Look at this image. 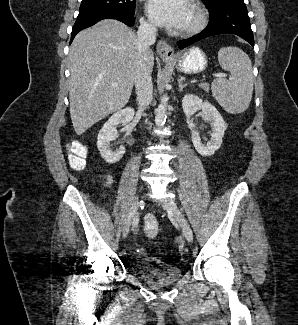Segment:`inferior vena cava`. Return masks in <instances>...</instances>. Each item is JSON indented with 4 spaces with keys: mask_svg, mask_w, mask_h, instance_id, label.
Masks as SVG:
<instances>
[{
    "mask_svg": "<svg viewBox=\"0 0 298 325\" xmlns=\"http://www.w3.org/2000/svg\"><path fill=\"white\" fill-rule=\"evenodd\" d=\"M157 34L156 26L149 24L146 20H140L137 30L139 54L134 78L138 112H143L144 108L151 104L153 98L152 68L148 60L151 52L150 46L156 42Z\"/></svg>",
    "mask_w": 298,
    "mask_h": 325,
    "instance_id": "1",
    "label": "inferior vena cava"
}]
</instances>
